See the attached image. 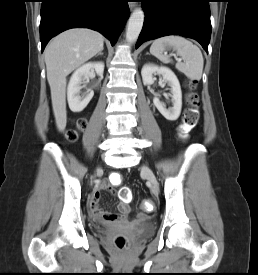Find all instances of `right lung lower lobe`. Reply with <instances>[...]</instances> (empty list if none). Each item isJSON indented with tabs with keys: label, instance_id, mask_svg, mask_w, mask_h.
<instances>
[{
	"label": "right lung lower lobe",
	"instance_id": "98d812e1",
	"mask_svg": "<svg viewBox=\"0 0 258 275\" xmlns=\"http://www.w3.org/2000/svg\"><path fill=\"white\" fill-rule=\"evenodd\" d=\"M127 3L128 0H42L41 51L52 37L76 27L99 31L114 45L129 16Z\"/></svg>",
	"mask_w": 258,
	"mask_h": 275
}]
</instances>
